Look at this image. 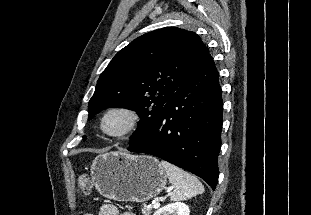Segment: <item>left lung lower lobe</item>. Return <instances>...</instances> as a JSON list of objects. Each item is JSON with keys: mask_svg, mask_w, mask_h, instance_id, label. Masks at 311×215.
<instances>
[{"mask_svg": "<svg viewBox=\"0 0 311 215\" xmlns=\"http://www.w3.org/2000/svg\"><path fill=\"white\" fill-rule=\"evenodd\" d=\"M218 78L215 63L204 47L147 132L128 150L166 160L201 177L215 189L223 111Z\"/></svg>", "mask_w": 311, "mask_h": 215, "instance_id": "0a47b994", "label": "left lung lower lobe"}]
</instances>
